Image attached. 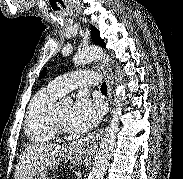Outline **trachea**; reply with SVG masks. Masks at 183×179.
<instances>
[{
  "label": "trachea",
  "mask_w": 183,
  "mask_h": 179,
  "mask_svg": "<svg viewBox=\"0 0 183 179\" xmlns=\"http://www.w3.org/2000/svg\"><path fill=\"white\" fill-rule=\"evenodd\" d=\"M101 91H107V85L105 82L101 85Z\"/></svg>",
  "instance_id": "obj_1"
}]
</instances>
